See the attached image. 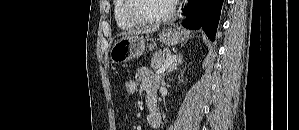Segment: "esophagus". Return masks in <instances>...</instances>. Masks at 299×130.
Instances as JSON below:
<instances>
[{
  "instance_id": "obj_1",
  "label": "esophagus",
  "mask_w": 299,
  "mask_h": 130,
  "mask_svg": "<svg viewBox=\"0 0 299 130\" xmlns=\"http://www.w3.org/2000/svg\"><path fill=\"white\" fill-rule=\"evenodd\" d=\"M186 5V1H183V8H180L178 13V20L181 21L184 18V6Z\"/></svg>"
}]
</instances>
